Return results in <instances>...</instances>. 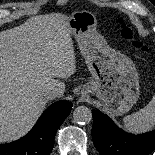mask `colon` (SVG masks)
I'll return each mask as SVG.
<instances>
[{
    "instance_id": "obj_1",
    "label": "colon",
    "mask_w": 155,
    "mask_h": 155,
    "mask_svg": "<svg viewBox=\"0 0 155 155\" xmlns=\"http://www.w3.org/2000/svg\"><path fill=\"white\" fill-rule=\"evenodd\" d=\"M118 24L121 30V36L130 41L132 46L142 52H148L149 47L141 40L135 37V33L132 28L127 26L126 19L123 16L118 18Z\"/></svg>"
}]
</instances>
